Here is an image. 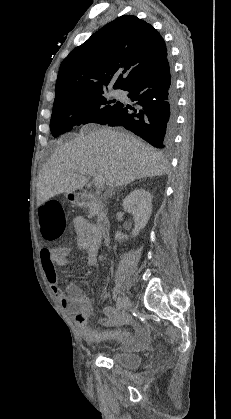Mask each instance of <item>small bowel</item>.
<instances>
[{"instance_id":"obj_1","label":"small bowel","mask_w":231,"mask_h":419,"mask_svg":"<svg viewBox=\"0 0 231 419\" xmlns=\"http://www.w3.org/2000/svg\"><path fill=\"white\" fill-rule=\"evenodd\" d=\"M73 226L76 234V247L86 254V264L90 267L98 266V250L101 242L96 225L83 216L74 218ZM70 249L56 247L44 249L41 253L42 267L52 292L59 299L62 307L75 316L78 331L84 340L95 344L104 340L116 341L124 350L142 349L146 345L147 332L130 316L119 314L112 309H106V316L100 320L102 326L113 328L106 331H97L89 327L87 320L90 314V301L81 286L71 283L66 290L60 288L55 272V264L70 265ZM132 327L133 332L122 327Z\"/></svg>"}]
</instances>
